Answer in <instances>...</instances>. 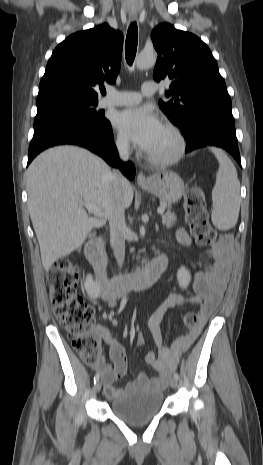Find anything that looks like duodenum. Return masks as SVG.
<instances>
[{"instance_id":"obj_1","label":"duodenum","mask_w":263,"mask_h":465,"mask_svg":"<svg viewBox=\"0 0 263 465\" xmlns=\"http://www.w3.org/2000/svg\"><path fill=\"white\" fill-rule=\"evenodd\" d=\"M85 255L94 268L103 294L112 298H119L127 292L155 283L167 266V257L160 255L142 270L110 278L107 274V260L102 239L88 242L85 246Z\"/></svg>"}]
</instances>
